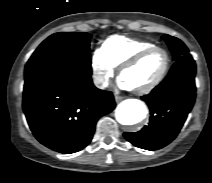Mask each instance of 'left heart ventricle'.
Returning a JSON list of instances; mask_svg holds the SVG:
<instances>
[{
  "label": "left heart ventricle",
  "mask_w": 212,
  "mask_h": 183,
  "mask_svg": "<svg viewBox=\"0 0 212 183\" xmlns=\"http://www.w3.org/2000/svg\"><path fill=\"white\" fill-rule=\"evenodd\" d=\"M165 54L158 50L147 55L136 66L126 70L121 78L130 88H141L157 78L164 67Z\"/></svg>",
  "instance_id": "left-heart-ventricle-1"
}]
</instances>
